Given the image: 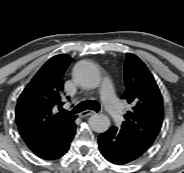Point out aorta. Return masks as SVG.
<instances>
[{"label":"aorta","mask_w":184,"mask_h":173,"mask_svg":"<svg viewBox=\"0 0 184 173\" xmlns=\"http://www.w3.org/2000/svg\"><path fill=\"white\" fill-rule=\"evenodd\" d=\"M75 74L81 86L94 89L100 85L101 76L97 67L89 62L83 61L76 66ZM91 129L97 133H104L110 127V119L104 114H94L89 118Z\"/></svg>","instance_id":"aorta-1"}]
</instances>
